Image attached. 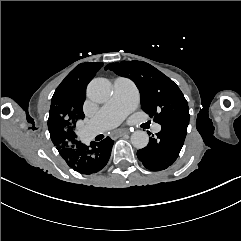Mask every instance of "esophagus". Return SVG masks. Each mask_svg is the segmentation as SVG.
<instances>
[{"label": "esophagus", "mask_w": 241, "mask_h": 241, "mask_svg": "<svg viewBox=\"0 0 241 241\" xmlns=\"http://www.w3.org/2000/svg\"><path fill=\"white\" fill-rule=\"evenodd\" d=\"M127 133H129V131L127 129H121L120 131H118L116 133H112V137L118 138L120 135L127 134Z\"/></svg>", "instance_id": "1"}]
</instances>
